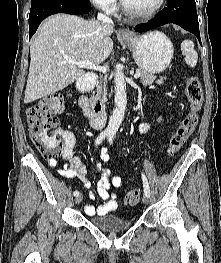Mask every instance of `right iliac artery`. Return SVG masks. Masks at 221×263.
<instances>
[{
    "label": "right iliac artery",
    "instance_id": "82829eb1",
    "mask_svg": "<svg viewBox=\"0 0 221 263\" xmlns=\"http://www.w3.org/2000/svg\"><path fill=\"white\" fill-rule=\"evenodd\" d=\"M108 136V134L107 133H101L98 137H97V139H96V141H95V144L96 145H98V144H100L106 137ZM73 194H74V196H78L79 195V191H74L73 192Z\"/></svg>",
    "mask_w": 221,
    "mask_h": 263
}]
</instances>
